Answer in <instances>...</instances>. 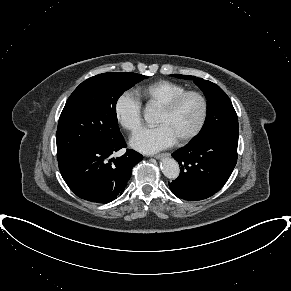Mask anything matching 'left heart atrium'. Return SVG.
I'll return each instance as SVG.
<instances>
[{
  "instance_id": "left-heart-atrium-1",
  "label": "left heart atrium",
  "mask_w": 291,
  "mask_h": 291,
  "mask_svg": "<svg viewBox=\"0 0 291 291\" xmlns=\"http://www.w3.org/2000/svg\"><path fill=\"white\" fill-rule=\"evenodd\" d=\"M176 141L166 126L159 125L141 130L132 138L131 145L141 152L154 153L172 146Z\"/></svg>"
}]
</instances>
